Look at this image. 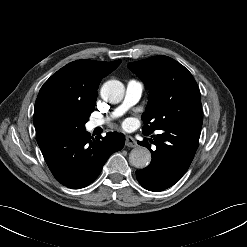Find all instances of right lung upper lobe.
Wrapping results in <instances>:
<instances>
[{"label":"right lung upper lobe","instance_id":"1","mask_svg":"<svg viewBox=\"0 0 247 247\" xmlns=\"http://www.w3.org/2000/svg\"><path fill=\"white\" fill-rule=\"evenodd\" d=\"M121 60L100 62L77 60L53 74L41 87L35 102L34 126L40 113L49 106L94 110L101 79L114 71Z\"/></svg>","mask_w":247,"mask_h":247}]
</instances>
